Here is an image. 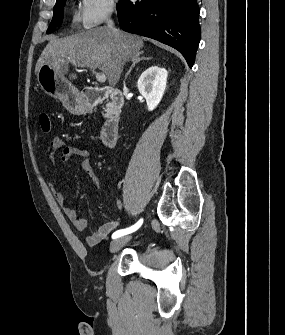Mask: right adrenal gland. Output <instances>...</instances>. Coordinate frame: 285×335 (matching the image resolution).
<instances>
[{"label":"right adrenal gland","instance_id":"2a0ac1e0","mask_svg":"<svg viewBox=\"0 0 285 335\" xmlns=\"http://www.w3.org/2000/svg\"><path fill=\"white\" fill-rule=\"evenodd\" d=\"M138 56H141V54H136L135 58H132L133 64H131L127 74H125V78H128L129 74H131L133 68H135L136 64H139V62H142V60H152V58H144V56H141V58H138Z\"/></svg>","mask_w":285,"mask_h":335}]
</instances>
